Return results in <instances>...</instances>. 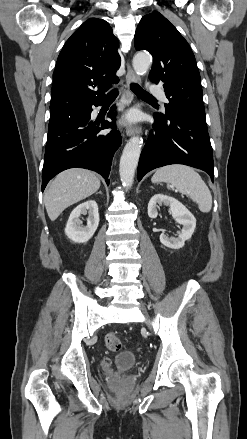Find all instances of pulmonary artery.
Wrapping results in <instances>:
<instances>
[{
	"mask_svg": "<svg viewBox=\"0 0 247 439\" xmlns=\"http://www.w3.org/2000/svg\"><path fill=\"white\" fill-rule=\"evenodd\" d=\"M149 90L153 95L160 97L165 102L167 101L165 93L161 87H159L157 85H151Z\"/></svg>",
	"mask_w": 247,
	"mask_h": 439,
	"instance_id": "e3ab8cb5",
	"label": "pulmonary artery"
}]
</instances>
